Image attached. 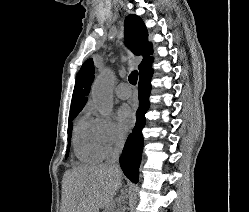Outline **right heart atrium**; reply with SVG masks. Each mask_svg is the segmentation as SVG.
Returning <instances> with one entry per match:
<instances>
[{
  "instance_id": "obj_1",
  "label": "right heart atrium",
  "mask_w": 249,
  "mask_h": 212,
  "mask_svg": "<svg viewBox=\"0 0 249 212\" xmlns=\"http://www.w3.org/2000/svg\"><path fill=\"white\" fill-rule=\"evenodd\" d=\"M88 111L94 115V139L100 160L110 159L122 146L123 138L109 117L97 115L91 106Z\"/></svg>"
}]
</instances>
